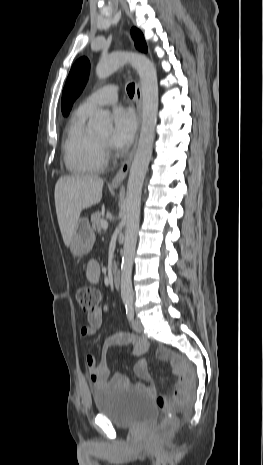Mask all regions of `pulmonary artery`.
I'll use <instances>...</instances> for the list:
<instances>
[{
  "label": "pulmonary artery",
  "instance_id": "1",
  "mask_svg": "<svg viewBox=\"0 0 263 465\" xmlns=\"http://www.w3.org/2000/svg\"><path fill=\"white\" fill-rule=\"evenodd\" d=\"M118 100V87L106 85L91 93L79 106V110L91 114L101 106L111 105Z\"/></svg>",
  "mask_w": 263,
  "mask_h": 465
}]
</instances>
